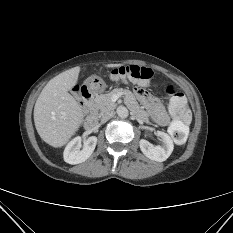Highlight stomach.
Returning a JSON list of instances; mask_svg holds the SVG:
<instances>
[{
  "label": "stomach",
  "mask_w": 233,
  "mask_h": 233,
  "mask_svg": "<svg viewBox=\"0 0 233 233\" xmlns=\"http://www.w3.org/2000/svg\"><path fill=\"white\" fill-rule=\"evenodd\" d=\"M86 85L94 93L102 92L105 89L104 81L98 76H91L86 80Z\"/></svg>",
  "instance_id": "stomach-1"
}]
</instances>
